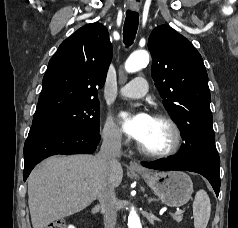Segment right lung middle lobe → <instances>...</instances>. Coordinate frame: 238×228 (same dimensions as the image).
<instances>
[{
    "mask_svg": "<svg viewBox=\"0 0 238 228\" xmlns=\"http://www.w3.org/2000/svg\"><path fill=\"white\" fill-rule=\"evenodd\" d=\"M99 117V101H84L46 115L34 117L32 126H67L99 132Z\"/></svg>",
    "mask_w": 238,
    "mask_h": 228,
    "instance_id": "dd1d6c3e",
    "label": "right lung middle lobe"
}]
</instances>
